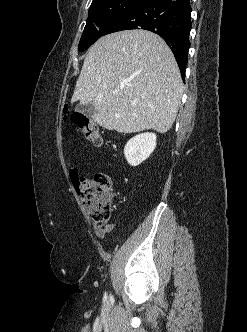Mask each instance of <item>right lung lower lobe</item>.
I'll use <instances>...</instances> for the list:
<instances>
[{
	"label": "right lung lower lobe",
	"mask_w": 247,
	"mask_h": 332,
	"mask_svg": "<svg viewBox=\"0 0 247 332\" xmlns=\"http://www.w3.org/2000/svg\"><path fill=\"white\" fill-rule=\"evenodd\" d=\"M191 11L190 0H146L111 24L104 35L131 29L160 35L173 51L184 81L190 48Z\"/></svg>",
	"instance_id": "obj_1"
}]
</instances>
